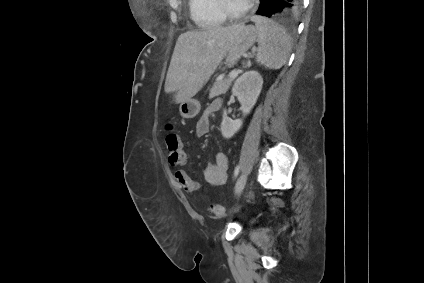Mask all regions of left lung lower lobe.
<instances>
[{"mask_svg":"<svg viewBox=\"0 0 424 283\" xmlns=\"http://www.w3.org/2000/svg\"><path fill=\"white\" fill-rule=\"evenodd\" d=\"M261 4L257 14L272 17L273 15H292L296 14L301 6L302 0H260Z\"/></svg>","mask_w":424,"mask_h":283,"instance_id":"1","label":"left lung lower lobe"}]
</instances>
